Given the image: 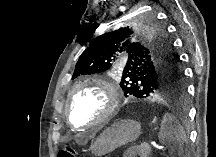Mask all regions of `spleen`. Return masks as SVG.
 <instances>
[{
    "label": "spleen",
    "instance_id": "spleen-1",
    "mask_svg": "<svg viewBox=\"0 0 216 157\" xmlns=\"http://www.w3.org/2000/svg\"><path fill=\"white\" fill-rule=\"evenodd\" d=\"M158 138L161 144L165 145L170 152H177L184 155V144L188 139L184 127L174 115L166 113L163 116Z\"/></svg>",
    "mask_w": 216,
    "mask_h": 157
}]
</instances>
